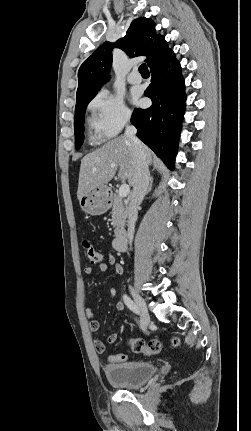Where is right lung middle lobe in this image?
<instances>
[{"label": "right lung middle lobe", "instance_id": "1", "mask_svg": "<svg viewBox=\"0 0 251 431\" xmlns=\"http://www.w3.org/2000/svg\"><path fill=\"white\" fill-rule=\"evenodd\" d=\"M97 92L77 98L75 107V147L79 149L83 144V131H84V114L88 103L95 97Z\"/></svg>", "mask_w": 251, "mask_h": 431}]
</instances>
